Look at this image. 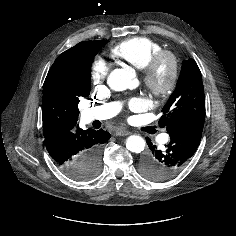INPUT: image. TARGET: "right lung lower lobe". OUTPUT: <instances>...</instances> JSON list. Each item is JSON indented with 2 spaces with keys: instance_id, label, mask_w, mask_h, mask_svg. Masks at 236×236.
<instances>
[{
  "instance_id": "right-lung-lower-lobe-1",
  "label": "right lung lower lobe",
  "mask_w": 236,
  "mask_h": 236,
  "mask_svg": "<svg viewBox=\"0 0 236 236\" xmlns=\"http://www.w3.org/2000/svg\"><path fill=\"white\" fill-rule=\"evenodd\" d=\"M109 139L110 133L107 131L78 128L73 132L46 137L44 143L55 163L72 178L71 174L75 173L76 177L80 174L88 156L100 153L102 144Z\"/></svg>"
}]
</instances>
